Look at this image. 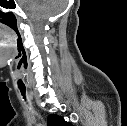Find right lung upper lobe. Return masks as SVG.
Listing matches in <instances>:
<instances>
[{
	"instance_id": "obj_1",
	"label": "right lung upper lobe",
	"mask_w": 127,
	"mask_h": 126,
	"mask_svg": "<svg viewBox=\"0 0 127 126\" xmlns=\"http://www.w3.org/2000/svg\"><path fill=\"white\" fill-rule=\"evenodd\" d=\"M48 126H71V124L66 122L61 116L50 114L48 116Z\"/></svg>"
}]
</instances>
